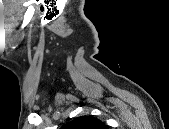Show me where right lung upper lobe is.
Returning <instances> with one entry per match:
<instances>
[{
	"label": "right lung upper lobe",
	"instance_id": "obj_1",
	"mask_svg": "<svg viewBox=\"0 0 169 129\" xmlns=\"http://www.w3.org/2000/svg\"><path fill=\"white\" fill-rule=\"evenodd\" d=\"M64 129H106L107 126L100 120L91 116H81L68 122Z\"/></svg>",
	"mask_w": 169,
	"mask_h": 129
}]
</instances>
